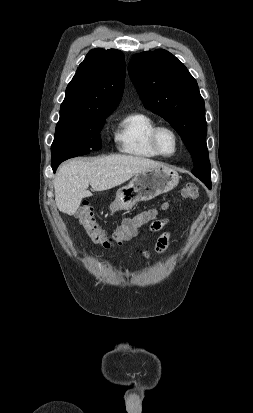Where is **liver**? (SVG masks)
I'll list each match as a JSON object with an SVG mask.
<instances>
[{"label":"liver","instance_id":"obj_1","mask_svg":"<svg viewBox=\"0 0 253 413\" xmlns=\"http://www.w3.org/2000/svg\"><path fill=\"white\" fill-rule=\"evenodd\" d=\"M166 168L161 163L143 157L111 155L93 160H72L63 164L53 180L55 201L60 212L74 214L83 198L95 191L114 188L138 173Z\"/></svg>","mask_w":253,"mask_h":413}]
</instances>
